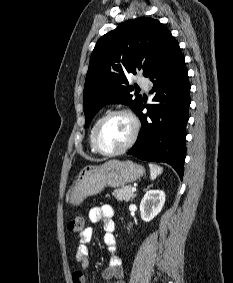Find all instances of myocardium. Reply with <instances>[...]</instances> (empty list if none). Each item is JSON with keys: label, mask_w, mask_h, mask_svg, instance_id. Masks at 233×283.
Masks as SVG:
<instances>
[{"label": "myocardium", "mask_w": 233, "mask_h": 283, "mask_svg": "<svg viewBox=\"0 0 233 283\" xmlns=\"http://www.w3.org/2000/svg\"><path fill=\"white\" fill-rule=\"evenodd\" d=\"M115 115H125L130 119V121L132 122V126H133L132 134L128 142L120 149L115 150V151H105L99 145V134H100L102 127L106 123V121ZM140 127L141 126H140L139 119L134 114V112H132L130 109L118 108V109L111 110L107 112L101 118V120L98 122L96 126L94 133H93V146L95 150L97 151V153L104 155V156H116V155L123 154L135 144L138 138L139 132H140Z\"/></svg>", "instance_id": "f54148a6"}]
</instances>
